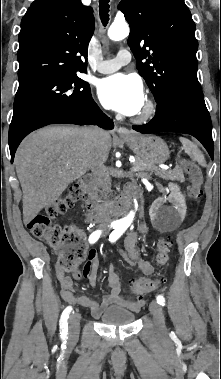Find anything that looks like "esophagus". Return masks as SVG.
<instances>
[{
    "instance_id": "1",
    "label": "esophagus",
    "mask_w": 221,
    "mask_h": 379,
    "mask_svg": "<svg viewBox=\"0 0 221 379\" xmlns=\"http://www.w3.org/2000/svg\"><path fill=\"white\" fill-rule=\"evenodd\" d=\"M117 133L121 137H126V136L130 135V131L127 128H125V127H119L117 129Z\"/></svg>"
}]
</instances>
